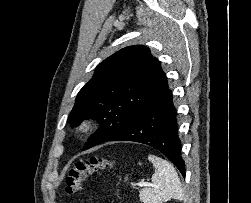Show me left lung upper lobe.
I'll return each mask as SVG.
<instances>
[{"label": "left lung upper lobe", "mask_w": 251, "mask_h": 203, "mask_svg": "<svg viewBox=\"0 0 251 203\" xmlns=\"http://www.w3.org/2000/svg\"><path fill=\"white\" fill-rule=\"evenodd\" d=\"M166 80L149 48H123L101 62L92 79L79 91L68 121L95 118L100 129L84 149L109 141L160 92Z\"/></svg>", "instance_id": "left-lung-upper-lobe-1"}]
</instances>
